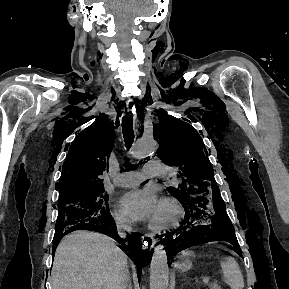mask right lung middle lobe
<instances>
[{
  "label": "right lung middle lobe",
  "mask_w": 289,
  "mask_h": 289,
  "mask_svg": "<svg viewBox=\"0 0 289 289\" xmlns=\"http://www.w3.org/2000/svg\"><path fill=\"white\" fill-rule=\"evenodd\" d=\"M103 188L74 192L59 197L55 236H63L74 224L85 218H97L109 213Z\"/></svg>",
  "instance_id": "right-lung-middle-lobe-1"
}]
</instances>
